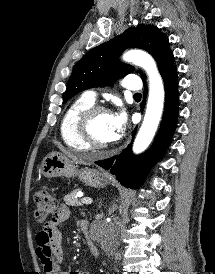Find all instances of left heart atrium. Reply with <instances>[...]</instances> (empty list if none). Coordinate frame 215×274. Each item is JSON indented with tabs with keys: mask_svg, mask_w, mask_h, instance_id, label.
Segmentation results:
<instances>
[{
	"mask_svg": "<svg viewBox=\"0 0 215 274\" xmlns=\"http://www.w3.org/2000/svg\"><path fill=\"white\" fill-rule=\"evenodd\" d=\"M126 126V115L124 111H119L111 114V127L113 130V139H118Z\"/></svg>",
	"mask_w": 215,
	"mask_h": 274,
	"instance_id": "39dd6f15",
	"label": "left heart atrium"
}]
</instances>
